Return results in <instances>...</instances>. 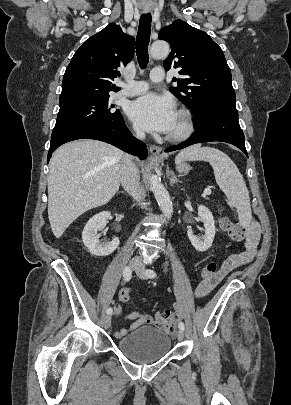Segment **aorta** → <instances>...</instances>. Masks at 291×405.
<instances>
[{
    "instance_id": "aorta-1",
    "label": "aorta",
    "mask_w": 291,
    "mask_h": 405,
    "mask_svg": "<svg viewBox=\"0 0 291 405\" xmlns=\"http://www.w3.org/2000/svg\"><path fill=\"white\" fill-rule=\"evenodd\" d=\"M169 52L170 46L163 40L155 41L151 46V56L154 59H162L166 57ZM149 184L161 211L167 218H170L173 214V204L168 191L155 175L149 178Z\"/></svg>"
}]
</instances>
